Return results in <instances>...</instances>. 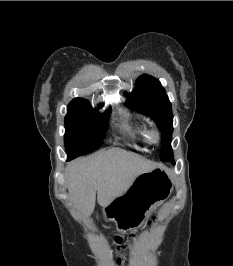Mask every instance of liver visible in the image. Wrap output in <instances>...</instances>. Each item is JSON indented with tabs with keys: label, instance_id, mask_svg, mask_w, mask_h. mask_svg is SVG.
Wrapping results in <instances>:
<instances>
[{
	"label": "liver",
	"instance_id": "1",
	"mask_svg": "<svg viewBox=\"0 0 233 266\" xmlns=\"http://www.w3.org/2000/svg\"><path fill=\"white\" fill-rule=\"evenodd\" d=\"M157 166L120 148L76 159L65 170L70 199L79 212L88 217L95 208L96 192L98 203L107 207L123 195L140 174Z\"/></svg>",
	"mask_w": 233,
	"mask_h": 266
}]
</instances>
